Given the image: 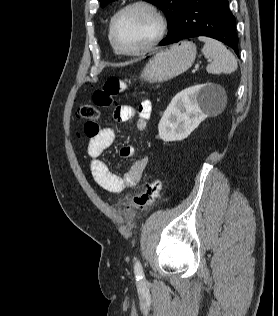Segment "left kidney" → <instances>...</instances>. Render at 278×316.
<instances>
[{"instance_id": "left-kidney-1", "label": "left kidney", "mask_w": 278, "mask_h": 316, "mask_svg": "<svg viewBox=\"0 0 278 316\" xmlns=\"http://www.w3.org/2000/svg\"><path fill=\"white\" fill-rule=\"evenodd\" d=\"M223 97L224 89L213 83L182 90L172 99L159 122L160 138L165 142L187 138Z\"/></svg>"}]
</instances>
